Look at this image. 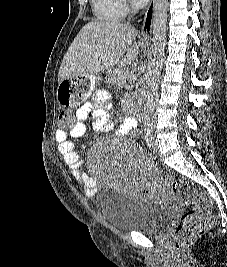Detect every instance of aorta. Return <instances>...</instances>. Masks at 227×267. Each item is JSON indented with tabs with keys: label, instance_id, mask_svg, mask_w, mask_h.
Listing matches in <instances>:
<instances>
[{
	"label": "aorta",
	"instance_id": "1",
	"mask_svg": "<svg viewBox=\"0 0 227 267\" xmlns=\"http://www.w3.org/2000/svg\"><path fill=\"white\" fill-rule=\"evenodd\" d=\"M168 0H155L153 13V59L144 105V126L152 127L159 79L165 57Z\"/></svg>",
	"mask_w": 227,
	"mask_h": 267
}]
</instances>
